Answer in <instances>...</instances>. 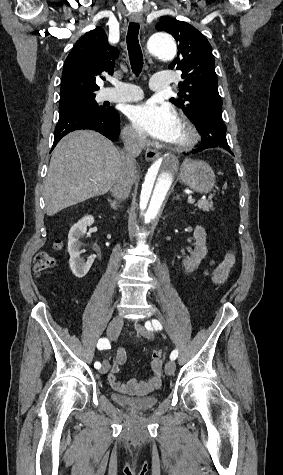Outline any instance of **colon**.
<instances>
[{
	"label": "colon",
	"instance_id": "obj_1",
	"mask_svg": "<svg viewBox=\"0 0 283 475\" xmlns=\"http://www.w3.org/2000/svg\"><path fill=\"white\" fill-rule=\"evenodd\" d=\"M53 260L45 251H39L35 256V265L39 272H45L51 268ZM163 362V353L161 350H154L151 355V366L157 367Z\"/></svg>",
	"mask_w": 283,
	"mask_h": 475
}]
</instances>
